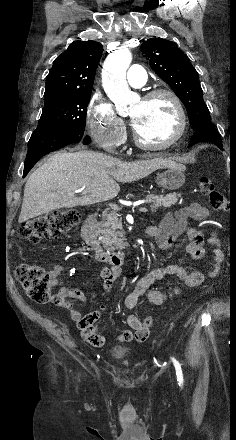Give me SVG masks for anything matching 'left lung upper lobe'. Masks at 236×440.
<instances>
[{"label": "left lung upper lobe", "mask_w": 236, "mask_h": 440, "mask_svg": "<svg viewBox=\"0 0 236 440\" xmlns=\"http://www.w3.org/2000/svg\"><path fill=\"white\" fill-rule=\"evenodd\" d=\"M141 50L150 58L153 71L172 88L185 105L191 128L196 131L211 123L198 73L177 44L162 38H151L142 43Z\"/></svg>", "instance_id": "5c2ea615"}]
</instances>
